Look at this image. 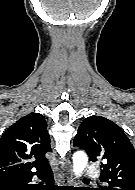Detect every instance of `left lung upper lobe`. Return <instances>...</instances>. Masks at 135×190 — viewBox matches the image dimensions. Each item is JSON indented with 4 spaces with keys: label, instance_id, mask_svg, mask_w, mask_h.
I'll return each mask as SVG.
<instances>
[{
    "label": "left lung upper lobe",
    "instance_id": "left-lung-upper-lobe-1",
    "mask_svg": "<svg viewBox=\"0 0 135 190\" xmlns=\"http://www.w3.org/2000/svg\"><path fill=\"white\" fill-rule=\"evenodd\" d=\"M74 146L83 148L93 162H101L100 179L107 186L99 190H135V150L114 122L101 116L86 118Z\"/></svg>",
    "mask_w": 135,
    "mask_h": 190
}]
</instances>
